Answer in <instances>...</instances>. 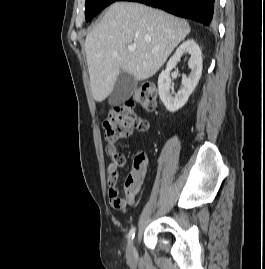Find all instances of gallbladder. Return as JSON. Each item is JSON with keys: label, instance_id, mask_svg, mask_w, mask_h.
<instances>
[{"label": "gallbladder", "instance_id": "obj_1", "mask_svg": "<svg viewBox=\"0 0 265 269\" xmlns=\"http://www.w3.org/2000/svg\"><path fill=\"white\" fill-rule=\"evenodd\" d=\"M137 87L136 79L126 73L122 72L114 85V88L109 96V104L111 106H118L128 100L134 93Z\"/></svg>", "mask_w": 265, "mask_h": 269}]
</instances>
